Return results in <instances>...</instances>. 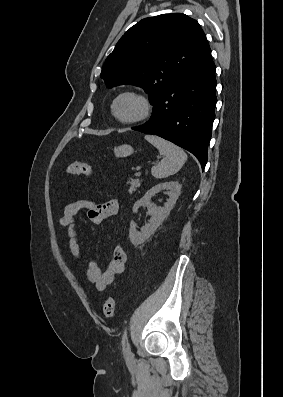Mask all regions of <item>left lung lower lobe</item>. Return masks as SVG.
<instances>
[{
  "label": "left lung lower lobe",
  "mask_w": 283,
  "mask_h": 397,
  "mask_svg": "<svg viewBox=\"0 0 283 397\" xmlns=\"http://www.w3.org/2000/svg\"><path fill=\"white\" fill-rule=\"evenodd\" d=\"M215 70L210 51L162 95L150 120L132 129L160 136L188 150L204 169L217 102Z\"/></svg>",
  "instance_id": "0a47b994"
}]
</instances>
